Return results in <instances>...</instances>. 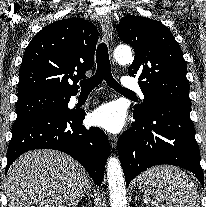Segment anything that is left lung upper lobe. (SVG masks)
Here are the masks:
<instances>
[{
	"label": "left lung upper lobe",
	"instance_id": "5c2ea615",
	"mask_svg": "<svg viewBox=\"0 0 206 207\" xmlns=\"http://www.w3.org/2000/svg\"><path fill=\"white\" fill-rule=\"evenodd\" d=\"M118 35L135 50L128 73L138 77L145 96L134 113L144 114L154 100L191 106L186 63L168 28L146 17L127 16L118 25Z\"/></svg>",
	"mask_w": 206,
	"mask_h": 207
}]
</instances>
